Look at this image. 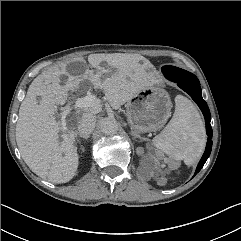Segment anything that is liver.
I'll return each mask as SVG.
<instances>
[{"mask_svg":"<svg viewBox=\"0 0 241 241\" xmlns=\"http://www.w3.org/2000/svg\"><path fill=\"white\" fill-rule=\"evenodd\" d=\"M79 61L84 63L83 60ZM88 62L97 70L84 66L83 72L69 76L65 85H60V76L68 75L66 64L42 72L30 84L19 109L16 142L21 156L34 173L47 177L53 183L70 181L79 164L74 131L67 130L66 120L59 123L55 119L57 104L65 101L69 92L75 91L80 83L88 80L95 88L103 90L113 109H118L152 85V75L147 71L152 67L151 63L140 55L91 54ZM103 62L109 69L115 70H106L101 66ZM99 111L95 107L84 110L93 114ZM80 118V112L68 116V120L76 124ZM60 130L68 131L62 141H59Z\"/></svg>","mask_w":241,"mask_h":241,"instance_id":"obj_1","label":"liver"}]
</instances>
